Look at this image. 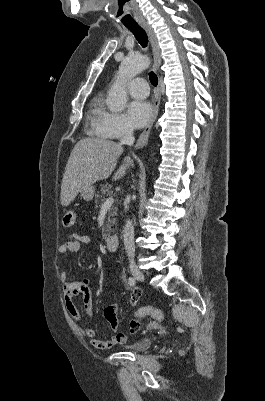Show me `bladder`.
<instances>
[{"instance_id":"obj_1","label":"bladder","mask_w":265,"mask_h":401,"mask_svg":"<svg viewBox=\"0 0 265 401\" xmlns=\"http://www.w3.org/2000/svg\"><path fill=\"white\" fill-rule=\"evenodd\" d=\"M151 343V339L148 338H141L137 340L136 342L126 345L124 350L127 351H146V349L149 347Z\"/></svg>"}]
</instances>
